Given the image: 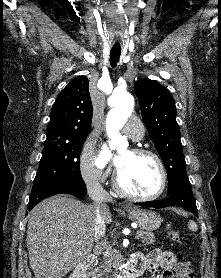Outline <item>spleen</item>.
<instances>
[{"instance_id":"spleen-1","label":"spleen","mask_w":221,"mask_h":278,"mask_svg":"<svg viewBox=\"0 0 221 278\" xmlns=\"http://www.w3.org/2000/svg\"><path fill=\"white\" fill-rule=\"evenodd\" d=\"M188 228L190 229V230H192V231H197V225H196V223L194 222V221H189V223H188Z\"/></svg>"}]
</instances>
